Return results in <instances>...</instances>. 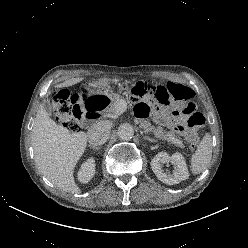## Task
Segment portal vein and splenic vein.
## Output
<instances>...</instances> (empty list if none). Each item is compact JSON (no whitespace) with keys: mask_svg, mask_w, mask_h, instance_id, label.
I'll return each mask as SVG.
<instances>
[{"mask_svg":"<svg viewBox=\"0 0 248 248\" xmlns=\"http://www.w3.org/2000/svg\"><path fill=\"white\" fill-rule=\"evenodd\" d=\"M127 109V103L125 100H120L118 103H117V107H116V110H115V115H119L123 112H125Z\"/></svg>","mask_w":248,"mask_h":248,"instance_id":"1","label":"portal vein and splenic vein"}]
</instances>
